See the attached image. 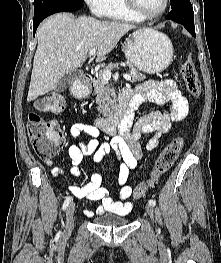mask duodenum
Returning <instances> with one entry per match:
<instances>
[{
	"instance_id": "1",
	"label": "duodenum",
	"mask_w": 221,
	"mask_h": 263,
	"mask_svg": "<svg viewBox=\"0 0 221 263\" xmlns=\"http://www.w3.org/2000/svg\"><path fill=\"white\" fill-rule=\"evenodd\" d=\"M91 79V74H86L84 77L85 82H89ZM81 92L80 86L72 87V93L75 97H80ZM138 108L139 105L132 101L130 94L122 91L118 95L115 113L111 117L100 119L97 126L108 134H114L117 130L128 128L132 122L133 114Z\"/></svg>"
}]
</instances>
